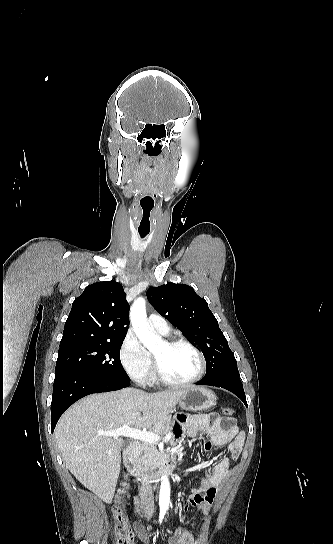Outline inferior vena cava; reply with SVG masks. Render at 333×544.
<instances>
[{
    "mask_svg": "<svg viewBox=\"0 0 333 544\" xmlns=\"http://www.w3.org/2000/svg\"><path fill=\"white\" fill-rule=\"evenodd\" d=\"M141 485L139 487V494L141 498L142 507L144 513L148 516H151L154 513V495L152 487L148 482L146 476H142Z\"/></svg>",
    "mask_w": 333,
    "mask_h": 544,
    "instance_id": "inferior-vena-cava-1",
    "label": "inferior vena cava"
}]
</instances>
